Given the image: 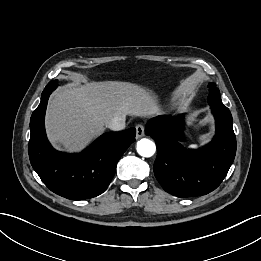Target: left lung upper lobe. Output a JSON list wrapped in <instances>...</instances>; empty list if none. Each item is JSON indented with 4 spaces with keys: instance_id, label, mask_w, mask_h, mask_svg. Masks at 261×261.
<instances>
[{
    "instance_id": "1",
    "label": "left lung upper lobe",
    "mask_w": 261,
    "mask_h": 261,
    "mask_svg": "<svg viewBox=\"0 0 261 261\" xmlns=\"http://www.w3.org/2000/svg\"><path fill=\"white\" fill-rule=\"evenodd\" d=\"M209 97L208 103L212 110L221 111L224 113H229V109L222 103L220 93L215 83H209Z\"/></svg>"
}]
</instances>
